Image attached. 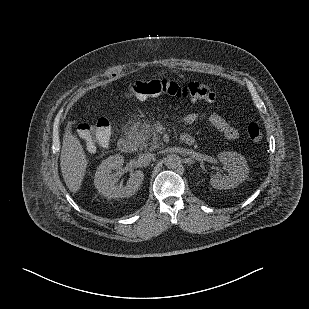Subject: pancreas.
I'll list each match as a JSON object with an SVG mask.
<instances>
[{
	"mask_svg": "<svg viewBox=\"0 0 309 309\" xmlns=\"http://www.w3.org/2000/svg\"><path fill=\"white\" fill-rule=\"evenodd\" d=\"M132 136L142 147H147L149 144L151 149H154L159 144V135L153 128L147 130L139 129L135 131Z\"/></svg>",
	"mask_w": 309,
	"mask_h": 309,
	"instance_id": "pancreas-1",
	"label": "pancreas"
}]
</instances>
